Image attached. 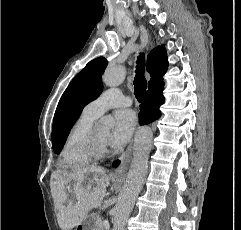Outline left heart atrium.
I'll return each instance as SVG.
<instances>
[{
  "label": "left heart atrium",
  "instance_id": "1",
  "mask_svg": "<svg viewBox=\"0 0 241 230\" xmlns=\"http://www.w3.org/2000/svg\"><path fill=\"white\" fill-rule=\"evenodd\" d=\"M114 127L109 137L113 147L125 145L132 137L136 127V116L130 109H120L114 114Z\"/></svg>",
  "mask_w": 241,
  "mask_h": 230
}]
</instances>
